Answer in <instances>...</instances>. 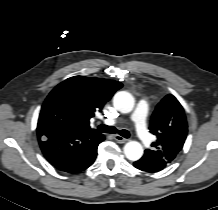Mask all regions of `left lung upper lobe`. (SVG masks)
Returning <instances> with one entry per match:
<instances>
[{
  "instance_id": "obj_1",
  "label": "left lung upper lobe",
  "mask_w": 218,
  "mask_h": 210,
  "mask_svg": "<svg viewBox=\"0 0 218 210\" xmlns=\"http://www.w3.org/2000/svg\"><path fill=\"white\" fill-rule=\"evenodd\" d=\"M149 129L157 140L152 144L153 149L147 151L154 159L170 164L181 151L187 135L184 109L173 95L168 94L157 105Z\"/></svg>"
}]
</instances>
